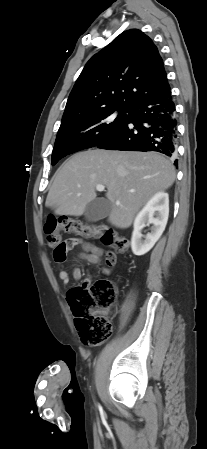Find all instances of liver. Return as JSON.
Here are the masks:
<instances>
[{"mask_svg":"<svg viewBox=\"0 0 207 449\" xmlns=\"http://www.w3.org/2000/svg\"><path fill=\"white\" fill-rule=\"evenodd\" d=\"M174 180V166L156 152L87 150L72 155L58 170L46 206L55 208L56 215L81 216L101 184L112 206L109 223L124 229L155 193L171 187Z\"/></svg>","mask_w":207,"mask_h":449,"instance_id":"6515ba94","label":"liver"}]
</instances>
